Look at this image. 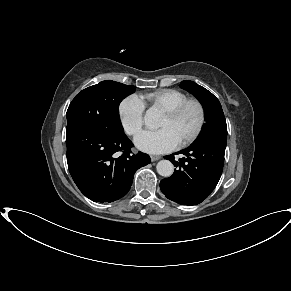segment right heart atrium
Segmentation results:
<instances>
[{
	"label": "right heart atrium",
	"instance_id": "obj_1",
	"mask_svg": "<svg viewBox=\"0 0 291 291\" xmlns=\"http://www.w3.org/2000/svg\"><path fill=\"white\" fill-rule=\"evenodd\" d=\"M145 106L135 94L125 97L118 106V118L124 131L130 135L138 134L144 124Z\"/></svg>",
	"mask_w": 291,
	"mask_h": 291
}]
</instances>
